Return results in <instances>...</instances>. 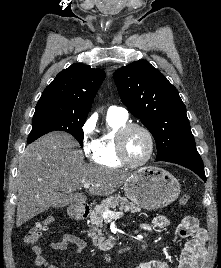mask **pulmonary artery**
<instances>
[{
    "label": "pulmonary artery",
    "mask_w": 221,
    "mask_h": 268,
    "mask_svg": "<svg viewBox=\"0 0 221 268\" xmlns=\"http://www.w3.org/2000/svg\"><path fill=\"white\" fill-rule=\"evenodd\" d=\"M107 116L118 117L121 119H127L128 111L125 108L110 106L107 111Z\"/></svg>",
    "instance_id": "1"
}]
</instances>
